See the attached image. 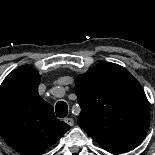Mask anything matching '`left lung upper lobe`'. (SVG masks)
I'll list each match as a JSON object with an SVG mask.
<instances>
[{
	"mask_svg": "<svg viewBox=\"0 0 155 155\" xmlns=\"http://www.w3.org/2000/svg\"><path fill=\"white\" fill-rule=\"evenodd\" d=\"M75 92L78 124L101 147L140 143L150 124V109L139 82L122 66L100 62L80 75Z\"/></svg>",
	"mask_w": 155,
	"mask_h": 155,
	"instance_id": "obj_1",
	"label": "left lung upper lobe"
}]
</instances>
